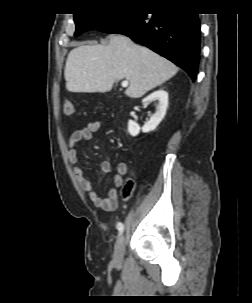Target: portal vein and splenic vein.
<instances>
[{"mask_svg": "<svg viewBox=\"0 0 252 303\" xmlns=\"http://www.w3.org/2000/svg\"><path fill=\"white\" fill-rule=\"evenodd\" d=\"M129 85V82L127 80L122 81L121 86L122 87H127Z\"/></svg>", "mask_w": 252, "mask_h": 303, "instance_id": "obj_1", "label": "portal vein and splenic vein"}]
</instances>
